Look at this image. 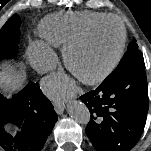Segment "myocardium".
<instances>
[{"label":"myocardium","mask_w":151,"mask_h":151,"mask_svg":"<svg viewBox=\"0 0 151 151\" xmlns=\"http://www.w3.org/2000/svg\"><path fill=\"white\" fill-rule=\"evenodd\" d=\"M108 21L115 22L120 29V42H119L118 50L114 59L110 62V64L107 67H105L103 70H101L100 72L92 76L82 77L78 75L72 64L73 51L79 48L87 40V38L93 32L94 29H96L99 25ZM126 42H127V30H126L124 22L122 21L120 17L108 14L104 17H101L95 20L91 24H89L84 30L81 31L80 34H78L74 39L69 41L63 47L64 63L66 67L68 68V70L71 71L84 84L95 85V84L101 83L106 78H108L120 64L124 56Z\"/></svg>","instance_id":"1"}]
</instances>
